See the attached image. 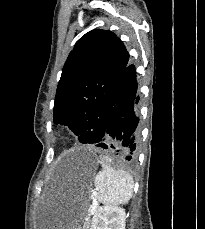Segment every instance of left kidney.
<instances>
[{
    "label": "left kidney",
    "mask_w": 205,
    "mask_h": 229,
    "mask_svg": "<svg viewBox=\"0 0 205 229\" xmlns=\"http://www.w3.org/2000/svg\"><path fill=\"white\" fill-rule=\"evenodd\" d=\"M125 210L119 206L98 207L90 229H125Z\"/></svg>",
    "instance_id": "5707ae66"
}]
</instances>
